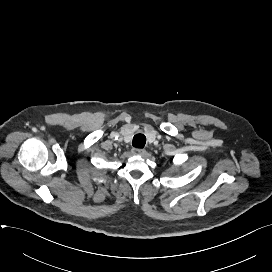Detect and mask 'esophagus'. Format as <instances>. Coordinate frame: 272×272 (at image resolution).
<instances>
[{"mask_svg":"<svg viewBox=\"0 0 272 272\" xmlns=\"http://www.w3.org/2000/svg\"><path fill=\"white\" fill-rule=\"evenodd\" d=\"M132 151L135 155H140V156H143L146 153L144 149H140V148H134Z\"/></svg>","mask_w":272,"mask_h":272,"instance_id":"obj_1","label":"esophagus"}]
</instances>
